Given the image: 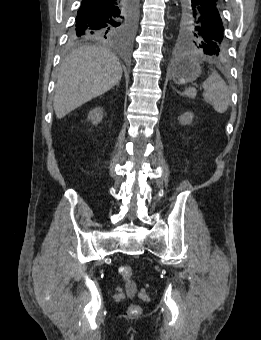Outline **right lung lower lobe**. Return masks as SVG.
I'll return each mask as SVG.
<instances>
[{"label":"right lung lower lobe","instance_id":"right-lung-lower-lobe-1","mask_svg":"<svg viewBox=\"0 0 261 340\" xmlns=\"http://www.w3.org/2000/svg\"><path fill=\"white\" fill-rule=\"evenodd\" d=\"M127 0H82L74 28L82 29L103 17L116 16ZM138 4V0H137Z\"/></svg>","mask_w":261,"mask_h":340}]
</instances>
